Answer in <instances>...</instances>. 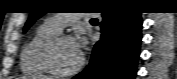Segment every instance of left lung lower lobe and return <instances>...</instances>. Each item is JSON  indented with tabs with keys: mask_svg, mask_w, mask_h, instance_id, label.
<instances>
[{
	"mask_svg": "<svg viewBox=\"0 0 177 79\" xmlns=\"http://www.w3.org/2000/svg\"><path fill=\"white\" fill-rule=\"evenodd\" d=\"M102 36L89 65L73 79H134L141 43L140 12H103Z\"/></svg>",
	"mask_w": 177,
	"mask_h": 79,
	"instance_id": "0a47b994",
	"label": "left lung lower lobe"
}]
</instances>
